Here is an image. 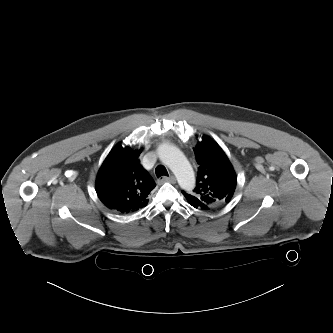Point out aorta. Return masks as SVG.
Segmentation results:
<instances>
[{
    "label": "aorta",
    "mask_w": 333,
    "mask_h": 333,
    "mask_svg": "<svg viewBox=\"0 0 333 333\" xmlns=\"http://www.w3.org/2000/svg\"><path fill=\"white\" fill-rule=\"evenodd\" d=\"M157 151L159 159L175 174L180 187L191 191L195 187L194 171L182 151L168 143L159 145Z\"/></svg>",
    "instance_id": "obj_1"
}]
</instances>
